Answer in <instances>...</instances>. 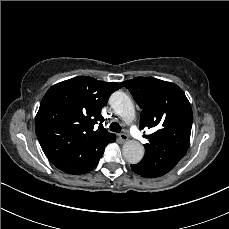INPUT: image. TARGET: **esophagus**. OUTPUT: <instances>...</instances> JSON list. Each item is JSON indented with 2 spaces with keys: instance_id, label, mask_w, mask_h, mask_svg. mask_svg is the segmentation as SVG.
Instances as JSON below:
<instances>
[{
  "instance_id": "1",
  "label": "esophagus",
  "mask_w": 229,
  "mask_h": 229,
  "mask_svg": "<svg viewBox=\"0 0 229 229\" xmlns=\"http://www.w3.org/2000/svg\"><path fill=\"white\" fill-rule=\"evenodd\" d=\"M119 139H120V141H121L122 143H124V142H126V141L129 139V137H128L127 134L121 133V134L119 135Z\"/></svg>"
}]
</instances>
